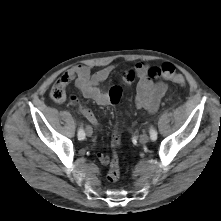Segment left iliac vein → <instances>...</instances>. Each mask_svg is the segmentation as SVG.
<instances>
[{"label": "left iliac vein", "mask_w": 221, "mask_h": 221, "mask_svg": "<svg viewBox=\"0 0 221 221\" xmlns=\"http://www.w3.org/2000/svg\"><path fill=\"white\" fill-rule=\"evenodd\" d=\"M149 140H150V137L147 134H142L140 136V142L143 143V144L147 143Z\"/></svg>", "instance_id": "obj_1"}]
</instances>
